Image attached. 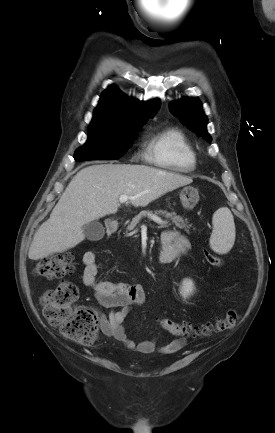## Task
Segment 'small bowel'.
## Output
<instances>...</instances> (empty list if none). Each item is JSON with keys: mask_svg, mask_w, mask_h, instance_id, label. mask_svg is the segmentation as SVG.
Masks as SVG:
<instances>
[{"mask_svg": "<svg viewBox=\"0 0 275 433\" xmlns=\"http://www.w3.org/2000/svg\"><path fill=\"white\" fill-rule=\"evenodd\" d=\"M162 251L165 261L169 263L179 256L187 254L190 249L188 239L174 230H167L161 236ZM84 265L81 274L82 283L91 288L94 297L103 308L120 307L121 309L112 311L109 314H100L99 322L102 332L106 336L115 338L124 344L128 349H136L142 353H152L156 350L164 353L178 351L184 344V340L177 339L170 343L157 347L154 340H145L136 343L129 338L125 331L124 321L131 308L145 302V289L141 284L114 281H97L96 276L99 270L97 253L94 250L86 251L82 256ZM161 262V261H160ZM162 263V262H161Z\"/></svg>", "mask_w": 275, "mask_h": 433, "instance_id": "obj_1", "label": "small bowel"}]
</instances>
